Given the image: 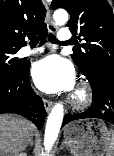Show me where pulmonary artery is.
Wrapping results in <instances>:
<instances>
[{"instance_id":"e3ab8cb5","label":"pulmonary artery","mask_w":114,"mask_h":156,"mask_svg":"<svg viewBox=\"0 0 114 156\" xmlns=\"http://www.w3.org/2000/svg\"><path fill=\"white\" fill-rule=\"evenodd\" d=\"M58 36L62 42H68V40L71 38V32L67 28H63L60 30ZM41 52H43L42 48L31 49L29 47H25L20 51V55L22 57H27V56L35 55Z\"/></svg>"}]
</instances>
